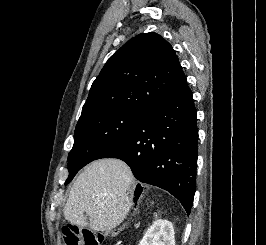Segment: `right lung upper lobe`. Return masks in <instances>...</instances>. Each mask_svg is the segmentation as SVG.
Returning <instances> with one entry per match:
<instances>
[{
	"mask_svg": "<svg viewBox=\"0 0 266 245\" xmlns=\"http://www.w3.org/2000/svg\"><path fill=\"white\" fill-rule=\"evenodd\" d=\"M186 83L172 46L156 33L139 34L109 58L91 86L81 117L105 109L146 112Z\"/></svg>",
	"mask_w": 266,
	"mask_h": 245,
	"instance_id": "obj_1",
	"label": "right lung upper lobe"
}]
</instances>
